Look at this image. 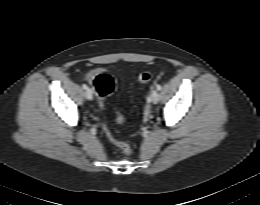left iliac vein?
<instances>
[{"label":"left iliac vein","mask_w":260,"mask_h":205,"mask_svg":"<svg viewBox=\"0 0 260 205\" xmlns=\"http://www.w3.org/2000/svg\"><path fill=\"white\" fill-rule=\"evenodd\" d=\"M160 95L157 90H153L150 95V100L153 104H157L159 102Z\"/></svg>","instance_id":"obj_1"}]
</instances>
